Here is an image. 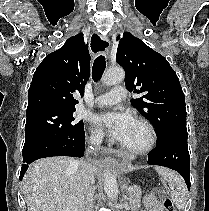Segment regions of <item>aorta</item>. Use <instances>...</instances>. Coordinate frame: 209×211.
<instances>
[{
    "label": "aorta",
    "instance_id": "762f6f07",
    "mask_svg": "<svg viewBox=\"0 0 209 211\" xmlns=\"http://www.w3.org/2000/svg\"><path fill=\"white\" fill-rule=\"evenodd\" d=\"M125 78V72L120 67L108 69L102 76V83L111 86L121 83ZM104 190L111 199H116L119 193L115 176L111 172L104 174Z\"/></svg>",
    "mask_w": 209,
    "mask_h": 211
}]
</instances>
